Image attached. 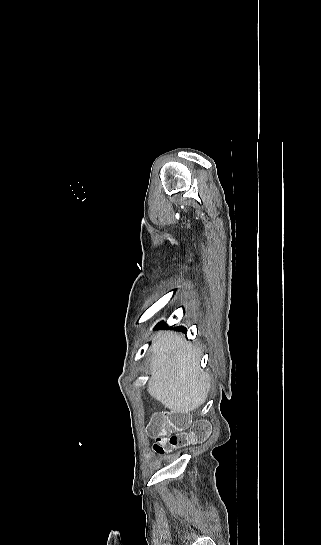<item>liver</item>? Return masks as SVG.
<instances>
[{"label":"liver","mask_w":321,"mask_h":545,"mask_svg":"<svg viewBox=\"0 0 321 545\" xmlns=\"http://www.w3.org/2000/svg\"><path fill=\"white\" fill-rule=\"evenodd\" d=\"M148 393L173 413H190L205 403L210 379L200 369L199 349L174 333H158L151 347Z\"/></svg>","instance_id":"obj_1"}]
</instances>
